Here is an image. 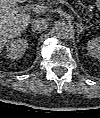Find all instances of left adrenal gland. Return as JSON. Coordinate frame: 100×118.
Masks as SVG:
<instances>
[{"mask_svg": "<svg viewBox=\"0 0 100 118\" xmlns=\"http://www.w3.org/2000/svg\"><path fill=\"white\" fill-rule=\"evenodd\" d=\"M87 29H88V27L82 25V23L77 24L78 35H80L84 30H87Z\"/></svg>", "mask_w": 100, "mask_h": 118, "instance_id": "obj_1", "label": "left adrenal gland"}]
</instances>
